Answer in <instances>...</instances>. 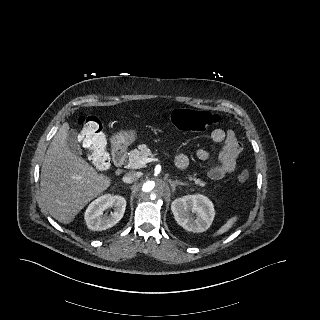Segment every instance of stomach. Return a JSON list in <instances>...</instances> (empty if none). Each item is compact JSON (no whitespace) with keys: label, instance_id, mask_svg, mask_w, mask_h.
Masks as SVG:
<instances>
[{"label":"stomach","instance_id":"0dacf381","mask_svg":"<svg viewBox=\"0 0 320 320\" xmlns=\"http://www.w3.org/2000/svg\"><path fill=\"white\" fill-rule=\"evenodd\" d=\"M135 130H122L114 134L112 142L116 148H126L136 140Z\"/></svg>","mask_w":320,"mask_h":320}]
</instances>
